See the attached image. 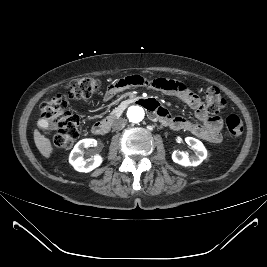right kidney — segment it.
<instances>
[{
	"label": "right kidney",
	"mask_w": 267,
	"mask_h": 267,
	"mask_svg": "<svg viewBox=\"0 0 267 267\" xmlns=\"http://www.w3.org/2000/svg\"><path fill=\"white\" fill-rule=\"evenodd\" d=\"M97 141L95 139L80 140L73 148L69 156V163L79 172H90L100 166L103 158L99 154H95L91 158L84 160L83 149L88 147H95Z\"/></svg>",
	"instance_id": "obj_1"
}]
</instances>
